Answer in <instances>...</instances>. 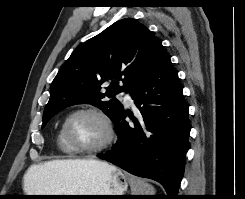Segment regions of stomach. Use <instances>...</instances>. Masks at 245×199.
<instances>
[{
    "instance_id": "0dacf381",
    "label": "stomach",
    "mask_w": 245,
    "mask_h": 199,
    "mask_svg": "<svg viewBox=\"0 0 245 199\" xmlns=\"http://www.w3.org/2000/svg\"><path fill=\"white\" fill-rule=\"evenodd\" d=\"M69 191L48 195H123L128 177L117 167L95 160L61 180ZM31 195V194H28ZM113 196L45 197L40 199H98Z\"/></svg>"
}]
</instances>
